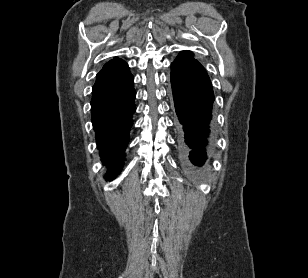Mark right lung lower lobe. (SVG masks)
<instances>
[{"label": "right lung lower lobe", "instance_id": "obj_1", "mask_svg": "<svg viewBox=\"0 0 308 278\" xmlns=\"http://www.w3.org/2000/svg\"><path fill=\"white\" fill-rule=\"evenodd\" d=\"M133 81L130 74L119 83L93 87L91 120L99 155L108 167L105 176L108 180L114 179L124 165L132 115L136 110Z\"/></svg>", "mask_w": 308, "mask_h": 278}]
</instances>
